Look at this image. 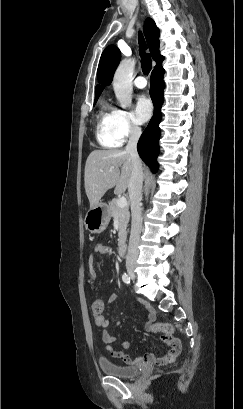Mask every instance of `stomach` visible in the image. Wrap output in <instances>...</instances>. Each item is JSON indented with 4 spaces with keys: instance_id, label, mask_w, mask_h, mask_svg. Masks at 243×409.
Listing matches in <instances>:
<instances>
[{
    "instance_id": "stomach-1",
    "label": "stomach",
    "mask_w": 243,
    "mask_h": 409,
    "mask_svg": "<svg viewBox=\"0 0 243 409\" xmlns=\"http://www.w3.org/2000/svg\"><path fill=\"white\" fill-rule=\"evenodd\" d=\"M110 209L105 203H98L86 213L84 224L91 233L103 232L110 221Z\"/></svg>"
}]
</instances>
